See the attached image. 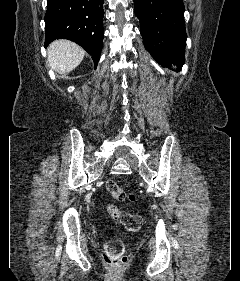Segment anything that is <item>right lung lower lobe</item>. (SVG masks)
Instances as JSON below:
<instances>
[{
	"instance_id": "obj_1",
	"label": "right lung lower lobe",
	"mask_w": 240,
	"mask_h": 281,
	"mask_svg": "<svg viewBox=\"0 0 240 281\" xmlns=\"http://www.w3.org/2000/svg\"><path fill=\"white\" fill-rule=\"evenodd\" d=\"M47 47L55 39H69L82 46L98 64L104 32V0H47Z\"/></svg>"
}]
</instances>
